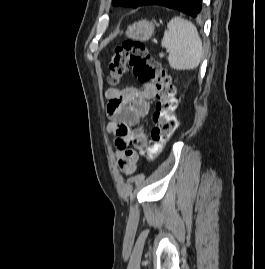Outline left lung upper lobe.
I'll list each match as a JSON object with an SVG mask.
<instances>
[{"instance_id":"1","label":"left lung upper lobe","mask_w":265,"mask_h":269,"mask_svg":"<svg viewBox=\"0 0 265 269\" xmlns=\"http://www.w3.org/2000/svg\"><path fill=\"white\" fill-rule=\"evenodd\" d=\"M143 1L144 0H112V4L115 6L122 5L137 8Z\"/></svg>"}]
</instances>
